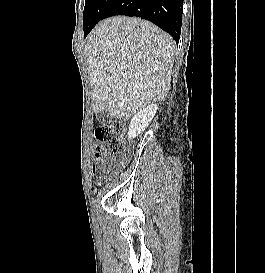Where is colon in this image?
I'll return each mask as SVG.
<instances>
[{"label":"colon","mask_w":265,"mask_h":273,"mask_svg":"<svg viewBox=\"0 0 265 273\" xmlns=\"http://www.w3.org/2000/svg\"><path fill=\"white\" fill-rule=\"evenodd\" d=\"M97 146L95 155L98 158L106 156L118 157L122 155V127L116 122H107L95 131Z\"/></svg>","instance_id":"obj_1"}]
</instances>
